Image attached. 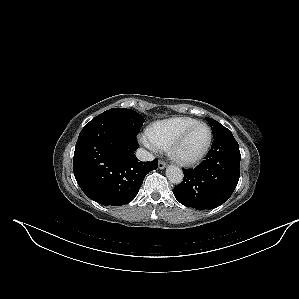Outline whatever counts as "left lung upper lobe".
Listing matches in <instances>:
<instances>
[{
	"label": "left lung upper lobe",
	"instance_id": "1",
	"mask_svg": "<svg viewBox=\"0 0 299 299\" xmlns=\"http://www.w3.org/2000/svg\"><path fill=\"white\" fill-rule=\"evenodd\" d=\"M205 119L209 123V125L211 126L213 134H216L217 132H219V131L226 128L214 119H211V118H205Z\"/></svg>",
	"mask_w": 299,
	"mask_h": 299
}]
</instances>
